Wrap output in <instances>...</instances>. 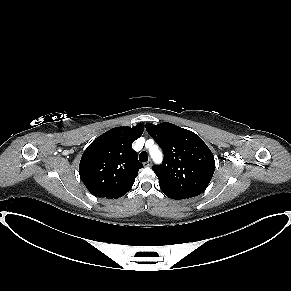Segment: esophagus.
Returning <instances> with one entry per match:
<instances>
[{"mask_svg":"<svg viewBox=\"0 0 291 291\" xmlns=\"http://www.w3.org/2000/svg\"><path fill=\"white\" fill-rule=\"evenodd\" d=\"M151 165H152V161L151 160H148L147 162L144 163L145 167H151Z\"/></svg>","mask_w":291,"mask_h":291,"instance_id":"esophagus-1","label":"esophagus"}]
</instances>
